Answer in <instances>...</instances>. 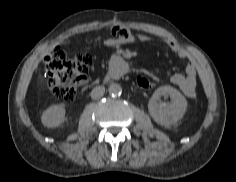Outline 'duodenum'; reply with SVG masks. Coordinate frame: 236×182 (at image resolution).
I'll list each match as a JSON object with an SVG mask.
<instances>
[{"instance_id": "obj_1", "label": "duodenum", "mask_w": 236, "mask_h": 182, "mask_svg": "<svg viewBox=\"0 0 236 182\" xmlns=\"http://www.w3.org/2000/svg\"><path fill=\"white\" fill-rule=\"evenodd\" d=\"M127 68L126 63L122 59H118L116 61H113L110 70L106 74V79H117L121 78L126 74Z\"/></svg>"}]
</instances>
